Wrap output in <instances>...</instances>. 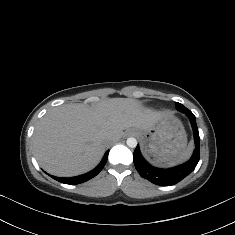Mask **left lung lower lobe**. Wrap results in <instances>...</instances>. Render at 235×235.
<instances>
[{"label": "left lung lower lobe", "mask_w": 235, "mask_h": 235, "mask_svg": "<svg viewBox=\"0 0 235 235\" xmlns=\"http://www.w3.org/2000/svg\"><path fill=\"white\" fill-rule=\"evenodd\" d=\"M191 122L194 139H195V150L189 161L186 163L169 168L160 169L151 166L141 155L139 146L134 151V165L139 174L156 185H174L181 181L183 178L188 176L196 167L200 157V137L196 124V118L192 112L185 113Z\"/></svg>", "instance_id": "left-lung-lower-lobe-1"}]
</instances>
